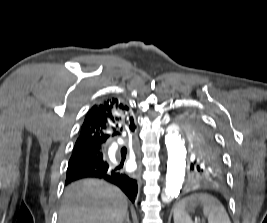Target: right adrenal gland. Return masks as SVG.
Wrapping results in <instances>:
<instances>
[{
	"label": "right adrenal gland",
	"instance_id": "right-adrenal-gland-1",
	"mask_svg": "<svg viewBox=\"0 0 267 223\" xmlns=\"http://www.w3.org/2000/svg\"><path fill=\"white\" fill-rule=\"evenodd\" d=\"M123 223H131L129 220V213L126 214V218Z\"/></svg>",
	"mask_w": 267,
	"mask_h": 223
}]
</instances>
